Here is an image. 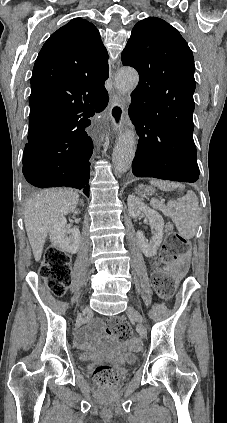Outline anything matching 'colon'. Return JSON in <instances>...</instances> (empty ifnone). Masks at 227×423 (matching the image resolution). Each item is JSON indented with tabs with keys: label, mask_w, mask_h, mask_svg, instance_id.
Listing matches in <instances>:
<instances>
[{
	"label": "colon",
	"mask_w": 227,
	"mask_h": 423,
	"mask_svg": "<svg viewBox=\"0 0 227 423\" xmlns=\"http://www.w3.org/2000/svg\"><path fill=\"white\" fill-rule=\"evenodd\" d=\"M185 250V240L176 232L168 233L151 275L152 285L161 297H168L173 288L171 277L161 268V265L180 259ZM40 274L46 280L50 290L55 295L61 296L71 282L69 255L57 247L48 248L40 268ZM130 335L131 328L123 319L116 318L109 323L107 339L113 337L127 339ZM92 378L101 385H108L116 378V373L110 366H100L93 371Z\"/></svg>",
	"instance_id": "1"
}]
</instances>
